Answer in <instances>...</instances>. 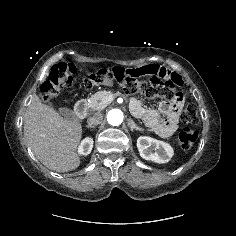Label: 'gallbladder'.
Here are the masks:
<instances>
[{"instance_id":"gallbladder-1","label":"gallbladder","mask_w":236,"mask_h":236,"mask_svg":"<svg viewBox=\"0 0 236 236\" xmlns=\"http://www.w3.org/2000/svg\"><path fill=\"white\" fill-rule=\"evenodd\" d=\"M48 104H50V103H48ZM58 112L60 115H62L65 118H68V119H71L74 117L73 112L70 109L65 108V107L59 108Z\"/></svg>"}]
</instances>
